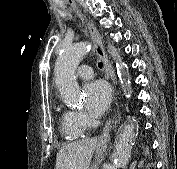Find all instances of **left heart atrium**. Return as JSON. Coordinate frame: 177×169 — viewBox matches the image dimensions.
Segmentation results:
<instances>
[{
	"mask_svg": "<svg viewBox=\"0 0 177 169\" xmlns=\"http://www.w3.org/2000/svg\"><path fill=\"white\" fill-rule=\"evenodd\" d=\"M85 104L92 116L102 115L109 107L111 90L102 80H93L84 86Z\"/></svg>",
	"mask_w": 177,
	"mask_h": 169,
	"instance_id": "1",
	"label": "left heart atrium"
}]
</instances>
